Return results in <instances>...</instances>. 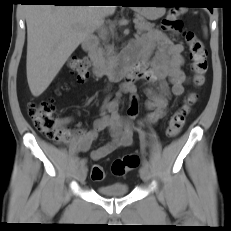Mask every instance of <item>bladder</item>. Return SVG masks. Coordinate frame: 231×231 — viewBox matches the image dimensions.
Here are the masks:
<instances>
[{"label": "bladder", "instance_id": "obj_1", "mask_svg": "<svg viewBox=\"0 0 231 231\" xmlns=\"http://www.w3.org/2000/svg\"><path fill=\"white\" fill-rule=\"evenodd\" d=\"M100 195L109 198H120L127 195L129 187L126 184L116 183L110 185H101L97 188Z\"/></svg>", "mask_w": 231, "mask_h": 231}]
</instances>
